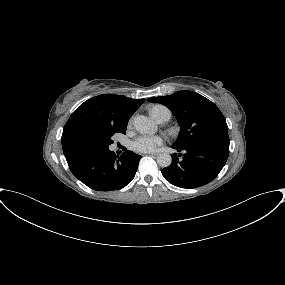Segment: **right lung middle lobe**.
<instances>
[{
  "label": "right lung middle lobe",
  "mask_w": 285,
  "mask_h": 285,
  "mask_svg": "<svg viewBox=\"0 0 285 285\" xmlns=\"http://www.w3.org/2000/svg\"><path fill=\"white\" fill-rule=\"evenodd\" d=\"M117 132L125 134L126 133V127L120 128V129L109 130L100 140H98L94 144V146H98V147H102V148H108L109 145L113 143L111 137Z\"/></svg>",
  "instance_id": "obj_1"
}]
</instances>
